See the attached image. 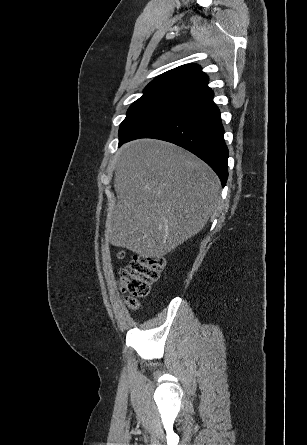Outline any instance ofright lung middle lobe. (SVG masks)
Wrapping results in <instances>:
<instances>
[{"mask_svg":"<svg viewBox=\"0 0 307 445\" xmlns=\"http://www.w3.org/2000/svg\"><path fill=\"white\" fill-rule=\"evenodd\" d=\"M185 101L178 98L146 95L136 100L128 109L127 116L119 128V140L175 109Z\"/></svg>","mask_w":307,"mask_h":445,"instance_id":"1","label":"right lung middle lobe"}]
</instances>
